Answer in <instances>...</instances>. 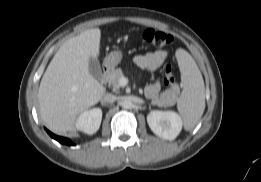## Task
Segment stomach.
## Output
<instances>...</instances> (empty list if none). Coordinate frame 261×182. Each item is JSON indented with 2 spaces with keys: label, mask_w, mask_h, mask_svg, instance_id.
Listing matches in <instances>:
<instances>
[{
  "label": "stomach",
  "mask_w": 261,
  "mask_h": 182,
  "mask_svg": "<svg viewBox=\"0 0 261 182\" xmlns=\"http://www.w3.org/2000/svg\"><path fill=\"white\" fill-rule=\"evenodd\" d=\"M122 52L121 51H112L109 53L104 59V66L107 69L113 70L122 60Z\"/></svg>",
  "instance_id": "0dacf381"
}]
</instances>
